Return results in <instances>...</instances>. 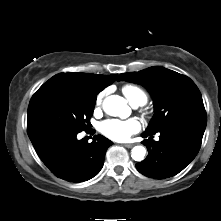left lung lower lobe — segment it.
Returning <instances> with one entry per match:
<instances>
[{
  "instance_id": "1",
  "label": "left lung lower lobe",
  "mask_w": 221,
  "mask_h": 221,
  "mask_svg": "<svg viewBox=\"0 0 221 221\" xmlns=\"http://www.w3.org/2000/svg\"><path fill=\"white\" fill-rule=\"evenodd\" d=\"M205 128L206 119L188 118L159 130V141H143L148 156L136 164L137 170L147 177L157 179L178 174L196 157ZM153 134L143 133V137Z\"/></svg>"
}]
</instances>
